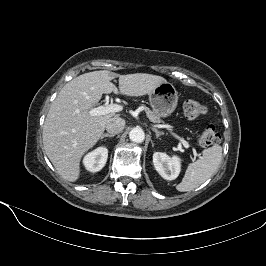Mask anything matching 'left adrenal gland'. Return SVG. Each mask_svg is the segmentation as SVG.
I'll use <instances>...</instances> for the list:
<instances>
[{
	"mask_svg": "<svg viewBox=\"0 0 266 266\" xmlns=\"http://www.w3.org/2000/svg\"><path fill=\"white\" fill-rule=\"evenodd\" d=\"M152 130L156 133V138L158 139L161 135H164L163 132H159L156 128H152Z\"/></svg>",
	"mask_w": 266,
	"mask_h": 266,
	"instance_id": "obj_1",
	"label": "left adrenal gland"
}]
</instances>
